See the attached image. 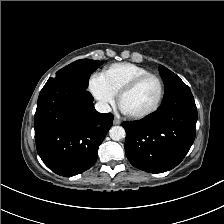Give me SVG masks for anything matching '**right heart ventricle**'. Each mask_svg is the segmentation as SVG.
Wrapping results in <instances>:
<instances>
[{
	"label": "right heart ventricle",
	"instance_id": "1",
	"mask_svg": "<svg viewBox=\"0 0 224 224\" xmlns=\"http://www.w3.org/2000/svg\"><path fill=\"white\" fill-rule=\"evenodd\" d=\"M147 73H150V71L144 67L122 62L104 68L100 73V77L107 88L115 95L130 80Z\"/></svg>",
	"mask_w": 224,
	"mask_h": 224
}]
</instances>
